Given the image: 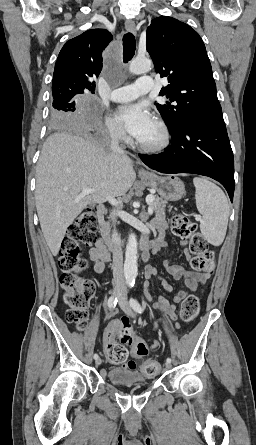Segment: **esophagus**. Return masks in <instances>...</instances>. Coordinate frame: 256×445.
<instances>
[{"instance_id": "1", "label": "esophagus", "mask_w": 256, "mask_h": 445, "mask_svg": "<svg viewBox=\"0 0 256 445\" xmlns=\"http://www.w3.org/2000/svg\"><path fill=\"white\" fill-rule=\"evenodd\" d=\"M125 27L127 29V31L136 34L137 33V28L135 25V22L131 19H128L125 21ZM142 172L147 173V171L145 169H141Z\"/></svg>"}]
</instances>
